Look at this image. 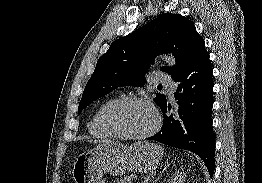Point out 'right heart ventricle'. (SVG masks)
Listing matches in <instances>:
<instances>
[{
  "instance_id": "obj_1",
  "label": "right heart ventricle",
  "mask_w": 262,
  "mask_h": 183,
  "mask_svg": "<svg viewBox=\"0 0 262 183\" xmlns=\"http://www.w3.org/2000/svg\"><path fill=\"white\" fill-rule=\"evenodd\" d=\"M121 99L120 97H111L101 103L98 108L95 110L91 120L88 123L89 133L99 139H108L113 137L105 128L103 123V116L105 111L113 103Z\"/></svg>"
}]
</instances>
